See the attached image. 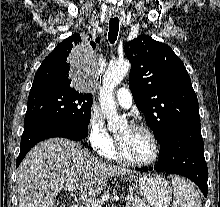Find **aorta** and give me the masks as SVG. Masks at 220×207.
Here are the masks:
<instances>
[{
    "label": "aorta",
    "mask_w": 220,
    "mask_h": 207,
    "mask_svg": "<svg viewBox=\"0 0 220 207\" xmlns=\"http://www.w3.org/2000/svg\"><path fill=\"white\" fill-rule=\"evenodd\" d=\"M129 69L130 63L128 61L111 63L103 77L99 100L102 113L107 118V126L110 131H116L121 125L126 123V119L117 114L114 89L127 75Z\"/></svg>",
    "instance_id": "762f6f07"
}]
</instances>
